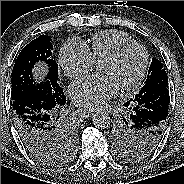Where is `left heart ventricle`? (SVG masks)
<instances>
[{
  "label": "left heart ventricle",
  "mask_w": 184,
  "mask_h": 184,
  "mask_svg": "<svg viewBox=\"0 0 184 184\" xmlns=\"http://www.w3.org/2000/svg\"><path fill=\"white\" fill-rule=\"evenodd\" d=\"M142 64V55L136 50L127 51L114 63L100 62L97 70L101 74L110 75L119 86L132 80L138 73Z\"/></svg>",
  "instance_id": "obj_1"
}]
</instances>
